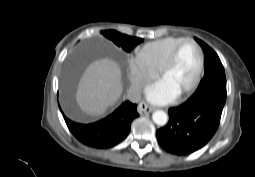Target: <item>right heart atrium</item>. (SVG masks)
<instances>
[{"label":"right heart atrium","mask_w":255,"mask_h":177,"mask_svg":"<svg viewBox=\"0 0 255 177\" xmlns=\"http://www.w3.org/2000/svg\"><path fill=\"white\" fill-rule=\"evenodd\" d=\"M158 74V70L149 65L139 55L129 61V78L133 92L139 93Z\"/></svg>","instance_id":"1"}]
</instances>
